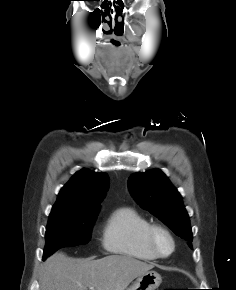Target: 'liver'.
Listing matches in <instances>:
<instances>
[{
    "label": "liver",
    "mask_w": 236,
    "mask_h": 290,
    "mask_svg": "<svg viewBox=\"0 0 236 290\" xmlns=\"http://www.w3.org/2000/svg\"><path fill=\"white\" fill-rule=\"evenodd\" d=\"M154 267L123 255L101 259H76L55 253L44 263L40 290H125L137 277Z\"/></svg>",
    "instance_id": "obj_1"
}]
</instances>
